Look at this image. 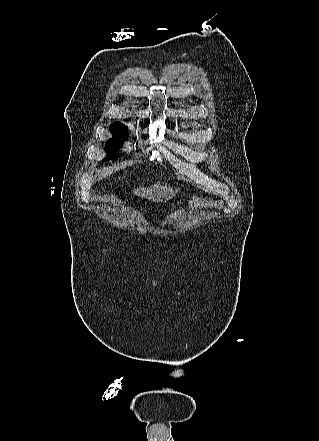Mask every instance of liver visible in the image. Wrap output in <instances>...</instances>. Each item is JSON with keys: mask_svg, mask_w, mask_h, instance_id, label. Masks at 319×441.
<instances>
[{"mask_svg": "<svg viewBox=\"0 0 319 441\" xmlns=\"http://www.w3.org/2000/svg\"><path fill=\"white\" fill-rule=\"evenodd\" d=\"M177 191V188L173 190V188L167 187V185L163 186L159 182L154 183V185L148 188L140 187L139 189H134L136 195L154 202L167 201L172 198Z\"/></svg>", "mask_w": 319, "mask_h": 441, "instance_id": "liver-1", "label": "liver"}]
</instances>
